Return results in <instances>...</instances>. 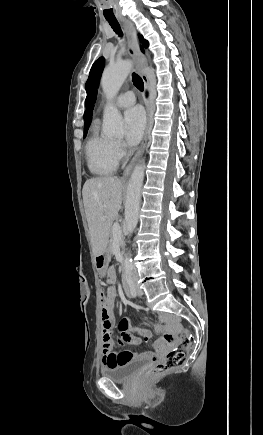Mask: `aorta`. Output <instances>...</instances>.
Instances as JSON below:
<instances>
[{"mask_svg":"<svg viewBox=\"0 0 263 435\" xmlns=\"http://www.w3.org/2000/svg\"><path fill=\"white\" fill-rule=\"evenodd\" d=\"M131 68L132 62L126 60L104 70L101 78V86L109 100H111L118 93L122 84L128 77ZM103 132L107 136L123 135L122 116L111 104H108L104 111ZM144 170V162L137 164L134 167L128 183L124 224L129 236L133 233L138 223ZM132 267V259L130 257H126L124 260V268L126 273H129L132 270Z\"/></svg>","mask_w":263,"mask_h":435,"instance_id":"aorta-1","label":"aorta"}]
</instances>
